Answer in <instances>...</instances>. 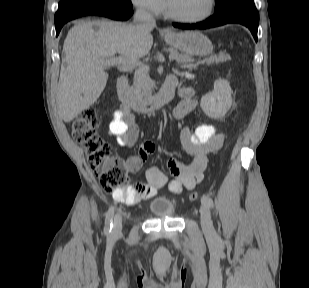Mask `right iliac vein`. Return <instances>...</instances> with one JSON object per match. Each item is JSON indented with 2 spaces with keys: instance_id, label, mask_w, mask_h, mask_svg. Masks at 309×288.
Listing matches in <instances>:
<instances>
[{
  "instance_id": "right-iliac-vein-1",
  "label": "right iliac vein",
  "mask_w": 309,
  "mask_h": 288,
  "mask_svg": "<svg viewBox=\"0 0 309 288\" xmlns=\"http://www.w3.org/2000/svg\"><path fill=\"white\" fill-rule=\"evenodd\" d=\"M121 229H122V218L120 215H116L112 231L113 236L117 237L121 233Z\"/></svg>"
}]
</instances>
